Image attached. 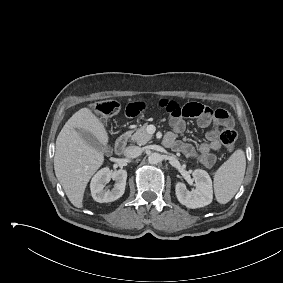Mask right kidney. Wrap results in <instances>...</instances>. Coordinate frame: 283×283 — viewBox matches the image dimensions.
I'll use <instances>...</instances> for the list:
<instances>
[{
	"mask_svg": "<svg viewBox=\"0 0 283 283\" xmlns=\"http://www.w3.org/2000/svg\"><path fill=\"white\" fill-rule=\"evenodd\" d=\"M113 179L115 181L114 187L104 189L105 185ZM127 179L126 170L110 171L109 168H103L98 171L91 180L90 188L91 195L96 202H112L119 199L125 191Z\"/></svg>",
	"mask_w": 283,
	"mask_h": 283,
	"instance_id": "1",
	"label": "right kidney"
}]
</instances>
